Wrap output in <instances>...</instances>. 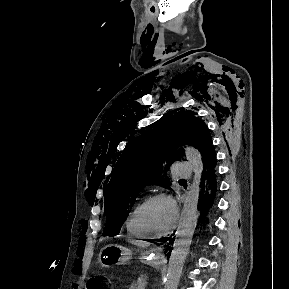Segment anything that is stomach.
Here are the masks:
<instances>
[{
  "label": "stomach",
  "mask_w": 289,
  "mask_h": 289,
  "mask_svg": "<svg viewBox=\"0 0 289 289\" xmlns=\"http://www.w3.org/2000/svg\"><path fill=\"white\" fill-rule=\"evenodd\" d=\"M132 251L117 244H110L101 249L99 253L100 264L103 267H110L114 264H121L132 258ZM157 256L152 259L143 258L148 263H156Z\"/></svg>",
  "instance_id": "1"
}]
</instances>
